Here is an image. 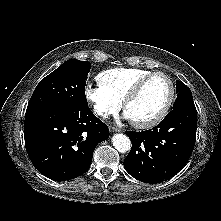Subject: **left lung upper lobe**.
<instances>
[{"instance_id":"obj_1","label":"left lung upper lobe","mask_w":221,"mask_h":221,"mask_svg":"<svg viewBox=\"0 0 221 221\" xmlns=\"http://www.w3.org/2000/svg\"><path fill=\"white\" fill-rule=\"evenodd\" d=\"M177 98L173 105V109L176 108H194V101L191 90L184 83L176 82Z\"/></svg>"}]
</instances>
